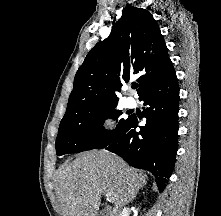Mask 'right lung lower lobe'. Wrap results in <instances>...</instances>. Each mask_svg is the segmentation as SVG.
Instances as JSON below:
<instances>
[{
    "label": "right lung lower lobe",
    "mask_w": 221,
    "mask_h": 216,
    "mask_svg": "<svg viewBox=\"0 0 221 216\" xmlns=\"http://www.w3.org/2000/svg\"><path fill=\"white\" fill-rule=\"evenodd\" d=\"M139 100L148 105L143 108L146 125L136 132L137 117L130 116L106 149L129 165L150 171L162 192L172 173L178 149L179 88L175 70L147 89Z\"/></svg>",
    "instance_id": "1"
}]
</instances>
